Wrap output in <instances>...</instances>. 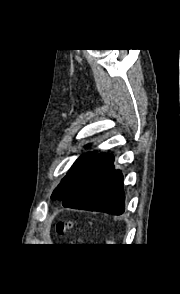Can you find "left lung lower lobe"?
<instances>
[{
	"mask_svg": "<svg viewBox=\"0 0 180 294\" xmlns=\"http://www.w3.org/2000/svg\"><path fill=\"white\" fill-rule=\"evenodd\" d=\"M114 156L96 155L74 181L61 200L64 207L101 211L114 215L124 212L123 175L114 168Z\"/></svg>",
	"mask_w": 180,
	"mask_h": 294,
	"instance_id": "1",
	"label": "left lung lower lobe"
}]
</instances>
